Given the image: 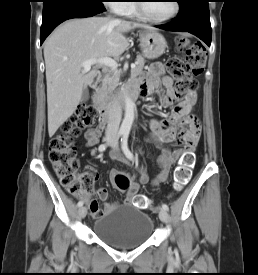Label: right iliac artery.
<instances>
[{
	"label": "right iliac artery",
	"instance_id": "obj_1",
	"mask_svg": "<svg viewBox=\"0 0 258 275\" xmlns=\"http://www.w3.org/2000/svg\"><path fill=\"white\" fill-rule=\"evenodd\" d=\"M123 133L124 132L120 131L118 133V137L122 136ZM106 147H107L106 144H101L98 148L99 152H103L106 149ZM77 205H78V207H82L83 206V201H79Z\"/></svg>",
	"mask_w": 258,
	"mask_h": 275
}]
</instances>
